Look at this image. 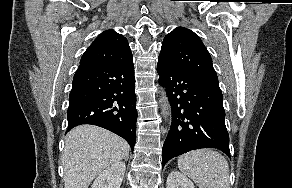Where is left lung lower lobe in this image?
I'll list each match as a JSON object with an SVG mask.
<instances>
[{
  "instance_id": "1",
  "label": "left lung lower lobe",
  "mask_w": 292,
  "mask_h": 188,
  "mask_svg": "<svg viewBox=\"0 0 292 188\" xmlns=\"http://www.w3.org/2000/svg\"><path fill=\"white\" fill-rule=\"evenodd\" d=\"M157 72L172 108V124L163 145L162 166L173 157L200 148H217L230 157L219 84L160 60Z\"/></svg>"
}]
</instances>
